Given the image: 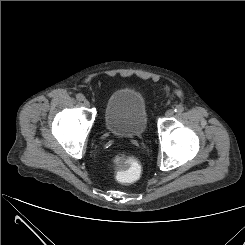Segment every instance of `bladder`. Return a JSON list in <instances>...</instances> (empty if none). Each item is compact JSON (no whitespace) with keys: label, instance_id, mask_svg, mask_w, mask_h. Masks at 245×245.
Masks as SVG:
<instances>
[{"label":"bladder","instance_id":"1","mask_svg":"<svg viewBox=\"0 0 245 245\" xmlns=\"http://www.w3.org/2000/svg\"><path fill=\"white\" fill-rule=\"evenodd\" d=\"M104 126L118 137H138L146 129L148 113L143 96L134 89L114 91L104 106Z\"/></svg>","mask_w":245,"mask_h":245}]
</instances>
